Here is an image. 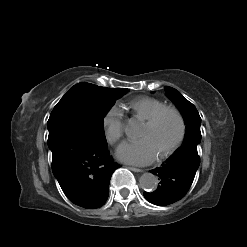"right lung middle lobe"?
Instances as JSON below:
<instances>
[{
    "mask_svg": "<svg viewBox=\"0 0 247 247\" xmlns=\"http://www.w3.org/2000/svg\"><path fill=\"white\" fill-rule=\"evenodd\" d=\"M128 89L105 88L90 83L74 85L57 103L49 117L47 128L70 130L91 141L106 145L103 119L115 100Z\"/></svg>",
    "mask_w": 247,
    "mask_h": 247,
    "instance_id": "dd1d6c3e",
    "label": "right lung middle lobe"
}]
</instances>
